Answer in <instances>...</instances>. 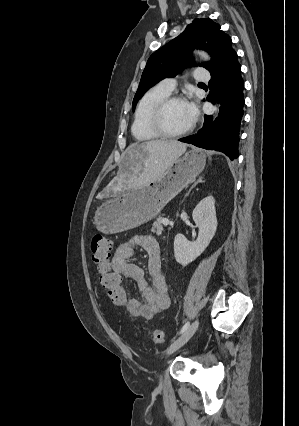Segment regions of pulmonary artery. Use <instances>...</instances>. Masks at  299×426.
Masks as SVG:
<instances>
[{
  "mask_svg": "<svg viewBox=\"0 0 299 426\" xmlns=\"http://www.w3.org/2000/svg\"><path fill=\"white\" fill-rule=\"evenodd\" d=\"M194 77L198 81H207L209 79L208 73L203 68L197 69ZM176 84L177 81L175 78H166L160 83V85L170 93L176 88Z\"/></svg>",
  "mask_w": 299,
  "mask_h": 426,
  "instance_id": "1",
  "label": "pulmonary artery"
}]
</instances>
